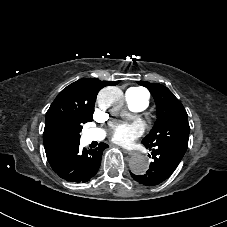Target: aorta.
I'll return each instance as SVG.
<instances>
[{
	"mask_svg": "<svg viewBox=\"0 0 227 227\" xmlns=\"http://www.w3.org/2000/svg\"><path fill=\"white\" fill-rule=\"evenodd\" d=\"M97 102L101 109L119 108L123 103V92L118 87H106L98 94ZM129 167L134 174L143 175L149 168V161L144 155L136 154L130 159Z\"/></svg>",
	"mask_w": 227,
	"mask_h": 227,
	"instance_id": "aorta-1",
	"label": "aorta"
}]
</instances>
